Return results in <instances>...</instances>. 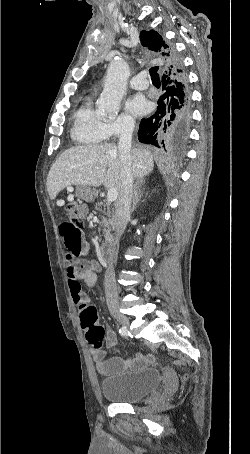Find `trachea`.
Instances as JSON below:
<instances>
[{
	"mask_svg": "<svg viewBox=\"0 0 250 454\" xmlns=\"http://www.w3.org/2000/svg\"><path fill=\"white\" fill-rule=\"evenodd\" d=\"M158 69H159V67H152V68L150 69V76H151V79H152V83H153V84H158V83H160L159 74L157 73V72H158Z\"/></svg>",
	"mask_w": 250,
	"mask_h": 454,
	"instance_id": "1",
	"label": "trachea"
}]
</instances>
